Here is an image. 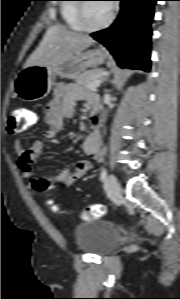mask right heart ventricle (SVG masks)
Here are the masks:
<instances>
[{
  "label": "right heart ventricle",
  "mask_w": 180,
  "mask_h": 299,
  "mask_svg": "<svg viewBox=\"0 0 180 299\" xmlns=\"http://www.w3.org/2000/svg\"><path fill=\"white\" fill-rule=\"evenodd\" d=\"M77 0H65L61 5V16L65 24L72 30L82 31L77 20Z\"/></svg>",
  "instance_id": "obj_1"
}]
</instances>
